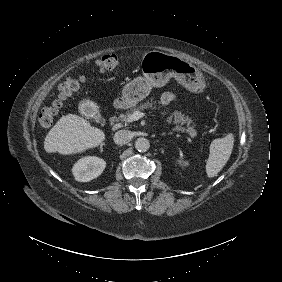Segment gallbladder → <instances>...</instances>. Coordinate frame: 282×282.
I'll use <instances>...</instances> for the list:
<instances>
[{"instance_id": "gallbladder-1", "label": "gallbladder", "mask_w": 282, "mask_h": 282, "mask_svg": "<svg viewBox=\"0 0 282 282\" xmlns=\"http://www.w3.org/2000/svg\"><path fill=\"white\" fill-rule=\"evenodd\" d=\"M87 104V101H84V102H82L81 104H80V106H84V105H86Z\"/></svg>"}]
</instances>
